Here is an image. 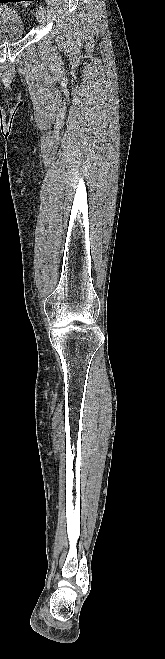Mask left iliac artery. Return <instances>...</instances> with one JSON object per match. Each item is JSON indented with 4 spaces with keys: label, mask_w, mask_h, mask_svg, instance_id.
<instances>
[{
    "label": "left iliac artery",
    "mask_w": 165,
    "mask_h": 659,
    "mask_svg": "<svg viewBox=\"0 0 165 659\" xmlns=\"http://www.w3.org/2000/svg\"><path fill=\"white\" fill-rule=\"evenodd\" d=\"M39 9L42 10L43 12H46V8L43 5H41Z\"/></svg>",
    "instance_id": "left-iliac-artery-1"
}]
</instances>
